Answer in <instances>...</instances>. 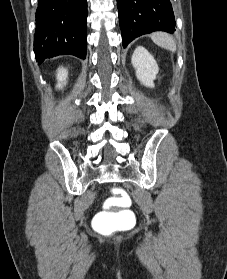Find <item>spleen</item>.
<instances>
[{"label":"spleen","instance_id":"1","mask_svg":"<svg viewBox=\"0 0 227 279\" xmlns=\"http://www.w3.org/2000/svg\"><path fill=\"white\" fill-rule=\"evenodd\" d=\"M151 39L158 46L167 49L169 51H176V43L172 36L167 33L157 32L151 35Z\"/></svg>","mask_w":227,"mask_h":279}]
</instances>
